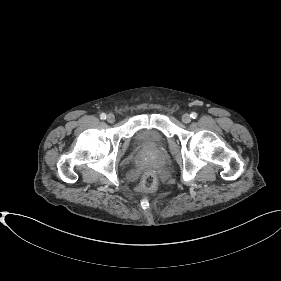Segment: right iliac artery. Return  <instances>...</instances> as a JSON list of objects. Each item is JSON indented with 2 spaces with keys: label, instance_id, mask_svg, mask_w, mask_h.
<instances>
[{
  "label": "right iliac artery",
  "instance_id": "82829eb1",
  "mask_svg": "<svg viewBox=\"0 0 281 281\" xmlns=\"http://www.w3.org/2000/svg\"><path fill=\"white\" fill-rule=\"evenodd\" d=\"M100 118H101L102 120H105V119H106V114H105V113H102V114L100 115Z\"/></svg>",
  "mask_w": 281,
  "mask_h": 281
}]
</instances>
